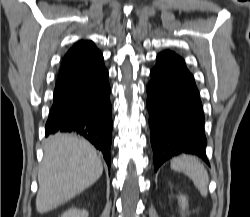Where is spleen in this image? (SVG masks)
I'll return each mask as SVG.
<instances>
[{"mask_svg":"<svg viewBox=\"0 0 250 217\" xmlns=\"http://www.w3.org/2000/svg\"><path fill=\"white\" fill-rule=\"evenodd\" d=\"M171 168L186 174L194 183L201 195L206 197L208 194L209 176L203 164L193 156H179L172 159Z\"/></svg>","mask_w":250,"mask_h":217,"instance_id":"1","label":"spleen"}]
</instances>
